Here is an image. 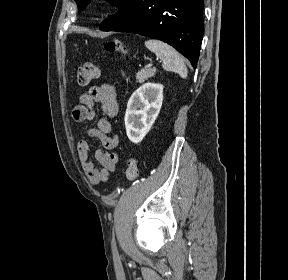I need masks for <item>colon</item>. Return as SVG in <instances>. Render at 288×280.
Listing matches in <instances>:
<instances>
[{"label": "colon", "instance_id": "colon-1", "mask_svg": "<svg viewBox=\"0 0 288 280\" xmlns=\"http://www.w3.org/2000/svg\"><path fill=\"white\" fill-rule=\"evenodd\" d=\"M105 49L108 52L127 54V48L120 41H110L106 43ZM99 68L93 62H85L77 70V83L81 86L90 84L94 79L99 76ZM126 178L133 181L138 176L137 162L133 158H128L126 163Z\"/></svg>", "mask_w": 288, "mask_h": 280}]
</instances>
